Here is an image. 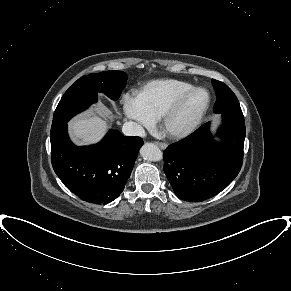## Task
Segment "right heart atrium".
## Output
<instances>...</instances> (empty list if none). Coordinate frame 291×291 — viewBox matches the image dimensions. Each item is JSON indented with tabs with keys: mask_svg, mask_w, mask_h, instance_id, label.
I'll use <instances>...</instances> for the list:
<instances>
[{
	"mask_svg": "<svg viewBox=\"0 0 291 291\" xmlns=\"http://www.w3.org/2000/svg\"><path fill=\"white\" fill-rule=\"evenodd\" d=\"M123 109L125 115L133 120L139 128H150L154 124V119L143 109L137 97L124 96Z\"/></svg>",
	"mask_w": 291,
	"mask_h": 291,
	"instance_id": "right-heart-atrium-1",
	"label": "right heart atrium"
}]
</instances>
